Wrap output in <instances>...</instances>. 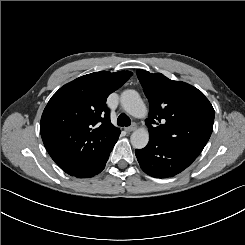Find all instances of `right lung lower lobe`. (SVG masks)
<instances>
[{"instance_id": "1", "label": "right lung lower lobe", "mask_w": 245, "mask_h": 245, "mask_svg": "<svg viewBox=\"0 0 245 245\" xmlns=\"http://www.w3.org/2000/svg\"><path fill=\"white\" fill-rule=\"evenodd\" d=\"M113 146L99 156L86 160L79 168L68 174L77 178H87L100 173L105 167Z\"/></svg>"}]
</instances>
